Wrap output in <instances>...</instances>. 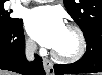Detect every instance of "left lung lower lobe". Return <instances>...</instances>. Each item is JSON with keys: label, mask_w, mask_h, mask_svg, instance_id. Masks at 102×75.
<instances>
[{"label": "left lung lower lobe", "mask_w": 102, "mask_h": 75, "mask_svg": "<svg viewBox=\"0 0 102 75\" xmlns=\"http://www.w3.org/2000/svg\"><path fill=\"white\" fill-rule=\"evenodd\" d=\"M86 53L72 64H55L56 75L102 72V29H93L84 34Z\"/></svg>", "instance_id": "0a47b994"}]
</instances>
